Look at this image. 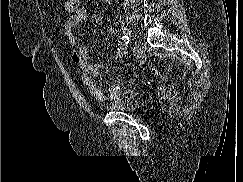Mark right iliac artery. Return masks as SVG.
I'll list each match as a JSON object with an SVG mask.
<instances>
[{
  "label": "right iliac artery",
  "mask_w": 243,
  "mask_h": 182,
  "mask_svg": "<svg viewBox=\"0 0 243 182\" xmlns=\"http://www.w3.org/2000/svg\"><path fill=\"white\" fill-rule=\"evenodd\" d=\"M121 42L127 46L130 43V39L128 36L124 35L121 37Z\"/></svg>",
  "instance_id": "right-iliac-artery-1"
}]
</instances>
